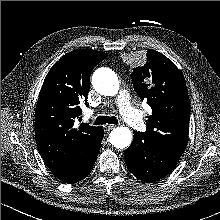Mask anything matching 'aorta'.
<instances>
[{"instance_id": "obj_1", "label": "aorta", "mask_w": 220, "mask_h": 220, "mask_svg": "<svg viewBox=\"0 0 220 220\" xmlns=\"http://www.w3.org/2000/svg\"><path fill=\"white\" fill-rule=\"evenodd\" d=\"M94 89L104 96H114L119 90V80L117 75L108 68L97 69L92 76ZM132 131L127 127H117L110 133V143L118 148L125 149L132 142Z\"/></svg>"}]
</instances>
